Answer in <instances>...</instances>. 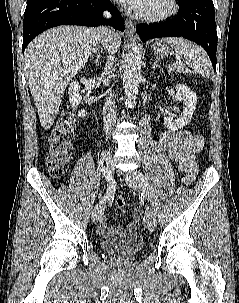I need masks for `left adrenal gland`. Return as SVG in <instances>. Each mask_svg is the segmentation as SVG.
Returning <instances> with one entry per match:
<instances>
[{
	"instance_id": "a2214340",
	"label": "left adrenal gland",
	"mask_w": 239,
	"mask_h": 303,
	"mask_svg": "<svg viewBox=\"0 0 239 303\" xmlns=\"http://www.w3.org/2000/svg\"><path fill=\"white\" fill-rule=\"evenodd\" d=\"M152 68L155 69V68H160L159 64L157 61L154 62V64L152 65Z\"/></svg>"
}]
</instances>
